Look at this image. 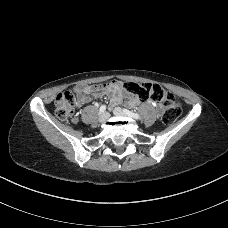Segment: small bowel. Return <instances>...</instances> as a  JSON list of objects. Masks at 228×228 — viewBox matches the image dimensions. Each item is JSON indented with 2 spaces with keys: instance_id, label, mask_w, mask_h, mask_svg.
Here are the masks:
<instances>
[{
  "instance_id": "obj_1",
  "label": "small bowel",
  "mask_w": 228,
  "mask_h": 228,
  "mask_svg": "<svg viewBox=\"0 0 228 228\" xmlns=\"http://www.w3.org/2000/svg\"><path fill=\"white\" fill-rule=\"evenodd\" d=\"M79 103H87L90 101L89 95L96 97L107 95L110 98V104H119L125 97V92L123 89V84L120 81L113 80L109 83H104L102 85H82L76 89ZM128 104L136 105L138 104V99L133 96H128ZM159 106V105H158Z\"/></svg>"
}]
</instances>
